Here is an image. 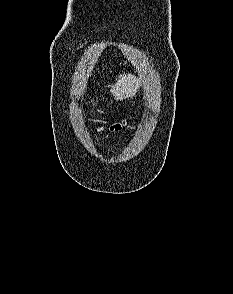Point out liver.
Masks as SVG:
<instances>
[{
    "label": "liver",
    "mask_w": 233,
    "mask_h": 294,
    "mask_svg": "<svg viewBox=\"0 0 233 294\" xmlns=\"http://www.w3.org/2000/svg\"><path fill=\"white\" fill-rule=\"evenodd\" d=\"M141 82L132 74L119 75L115 85L111 86V93L115 99L123 100L125 98L133 97L140 88Z\"/></svg>",
    "instance_id": "1"
}]
</instances>
